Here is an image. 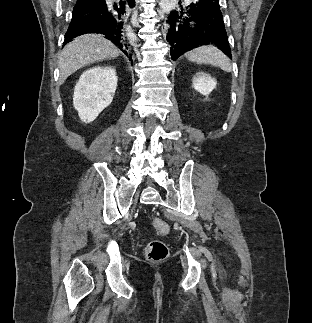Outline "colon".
Wrapping results in <instances>:
<instances>
[{"label": "colon", "mask_w": 312, "mask_h": 323, "mask_svg": "<svg viewBox=\"0 0 312 323\" xmlns=\"http://www.w3.org/2000/svg\"><path fill=\"white\" fill-rule=\"evenodd\" d=\"M153 225L157 232L165 233L168 231V225L161 218H156ZM146 255L150 261L161 262L167 257L168 248L163 242L152 241L146 247Z\"/></svg>", "instance_id": "colon-1"}]
</instances>
